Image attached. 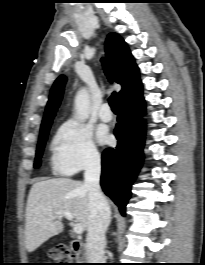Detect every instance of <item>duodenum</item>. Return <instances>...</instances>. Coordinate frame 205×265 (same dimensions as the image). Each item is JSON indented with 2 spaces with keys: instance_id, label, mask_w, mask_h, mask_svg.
I'll list each match as a JSON object with an SVG mask.
<instances>
[{
  "instance_id": "1",
  "label": "duodenum",
  "mask_w": 205,
  "mask_h": 265,
  "mask_svg": "<svg viewBox=\"0 0 205 265\" xmlns=\"http://www.w3.org/2000/svg\"><path fill=\"white\" fill-rule=\"evenodd\" d=\"M70 247L74 254L76 255L79 262H85L86 260V247L85 245L80 242L79 240H71Z\"/></svg>"
}]
</instances>
